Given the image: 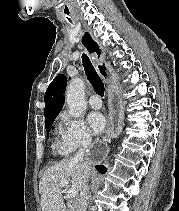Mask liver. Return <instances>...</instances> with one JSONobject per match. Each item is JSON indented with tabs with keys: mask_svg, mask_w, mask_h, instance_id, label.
I'll return each instance as SVG.
<instances>
[{
	"mask_svg": "<svg viewBox=\"0 0 179 211\" xmlns=\"http://www.w3.org/2000/svg\"><path fill=\"white\" fill-rule=\"evenodd\" d=\"M91 167L74 158H67L47 168L39 182L42 211H66L62 196L61 180H66L71 189L81 192L85 177Z\"/></svg>",
	"mask_w": 179,
	"mask_h": 211,
	"instance_id": "liver-1",
	"label": "liver"
}]
</instances>
